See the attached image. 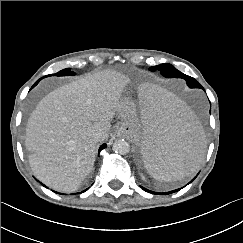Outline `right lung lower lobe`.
Returning <instances> with one entry per match:
<instances>
[{
	"instance_id": "right-lung-lower-lobe-1",
	"label": "right lung lower lobe",
	"mask_w": 243,
	"mask_h": 243,
	"mask_svg": "<svg viewBox=\"0 0 243 243\" xmlns=\"http://www.w3.org/2000/svg\"><path fill=\"white\" fill-rule=\"evenodd\" d=\"M40 80H41V79H39V80L36 82V84H37ZM106 146H107L106 144L101 145L100 148H99V153H100V151H101L102 149H104ZM42 185H43V184H42ZM43 186H45V185H43ZM45 187H46V186H45ZM83 192H84V191H83Z\"/></svg>"
}]
</instances>
